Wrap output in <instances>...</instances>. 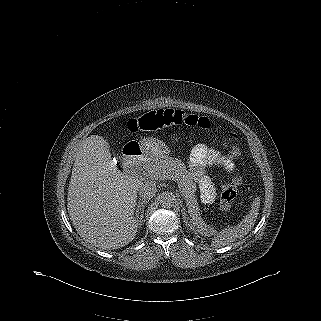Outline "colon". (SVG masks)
I'll return each mask as SVG.
<instances>
[{"label":"colon","mask_w":321,"mask_h":321,"mask_svg":"<svg viewBox=\"0 0 321 321\" xmlns=\"http://www.w3.org/2000/svg\"><path fill=\"white\" fill-rule=\"evenodd\" d=\"M178 125H197L202 128L212 127V122L206 118L193 113H186L178 110H158L152 111L139 118H133L128 122V129L132 132L137 131H158L163 128ZM235 135L229 134L227 137V146L230 155L239 159L240 152L234 144ZM241 183L240 174H237L229 184L223 187L220 199V205L223 210H229L237 194V189Z\"/></svg>","instance_id":"colon-1"}]
</instances>
